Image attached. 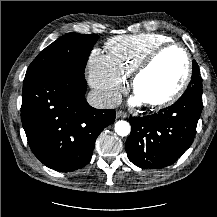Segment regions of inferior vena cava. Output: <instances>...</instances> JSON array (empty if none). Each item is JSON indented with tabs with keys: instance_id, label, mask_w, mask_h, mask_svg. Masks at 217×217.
<instances>
[{
	"instance_id": "obj_1",
	"label": "inferior vena cava",
	"mask_w": 217,
	"mask_h": 217,
	"mask_svg": "<svg viewBox=\"0 0 217 217\" xmlns=\"http://www.w3.org/2000/svg\"><path fill=\"white\" fill-rule=\"evenodd\" d=\"M87 102L96 109H112L120 105L118 93L100 90H91L87 95Z\"/></svg>"
}]
</instances>
